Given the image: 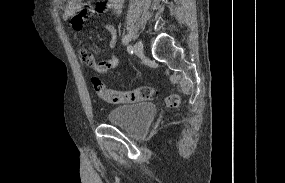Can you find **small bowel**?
<instances>
[{"instance_id": "obj_1", "label": "small bowel", "mask_w": 285, "mask_h": 183, "mask_svg": "<svg viewBox=\"0 0 285 183\" xmlns=\"http://www.w3.org/2000/svg\"><path fill=\"white\" fill-rule=\"evenodd\" d=\"M64 3L62 19L68 20L75 31L83 29L85 22L89 18H94L102 14L110 13L119 15L123 0H96L94 4H82L80 0H61ZM110 34L109 46L112 50L116 48L117 30L113 25L108 26ZM84 64L99 74H107L114 70L119 64V57L114 54L111 58L97 60L95 56L85 48L79 49Z\"/></svg>"}]
</instances>
